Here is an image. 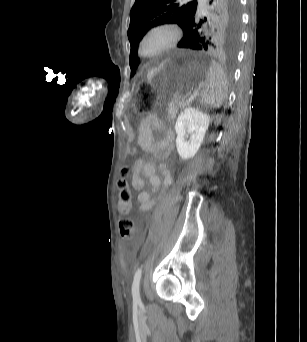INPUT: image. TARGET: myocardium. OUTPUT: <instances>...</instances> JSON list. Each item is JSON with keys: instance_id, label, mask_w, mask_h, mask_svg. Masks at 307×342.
I'll use <instances>...</instances> for the list:
<instances>
[{"instance_id": "f54148a6", "label": "myocardium", "mask_w": 307, "mask_h": 342, "mask_svg": "<svg viewBox=\"0 0 307 342\" xmlns=\"http://www.w3.org/2000/svg\"><path fill=\"white\" fill-rule=\"evenodd\" d=\"M156 29L167 30L169 32L170 37L168 41L166 42V44L163 47H161L157 52L149 56L145 55L142 49L144 40L152 31ZM180 40H181V31L178 25L174 21L165 20V19L156 20L148 24L146 28L143 30L140 36L139 42H138V52L141 55V57H143L144 59L153 60V59L163 56L164 54L172 50L174 47H176L179 44Z\"/></svg>"}]
</instances>
